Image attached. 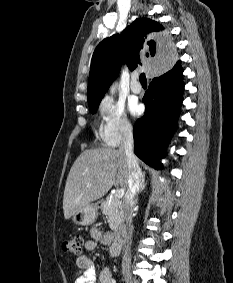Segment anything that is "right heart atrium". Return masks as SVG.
<instances>
[{
	"label": "right heart atrium",
	"instance_id": "right-heart-atrium-1",
	"mask_svg": "<svg viewBox=\"0 0 233 283\" xmlns=\"http://www.w3.org/2000/svg\"><path fill=\"white\" fill-rule=\"evenodd\" d=\"M103 124L101 138L110 147H116L133 134V125L124 105L112 97H104L98 107Z\"/></svg>",
	"mask_w": 233,
	"mask_h": 283
}]
</instances>
